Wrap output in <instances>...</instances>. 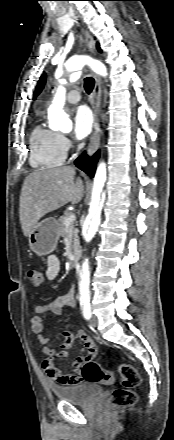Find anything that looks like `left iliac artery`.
Segmentation results:
<instances>
[{
	"mask_svg": "<svg viewBox=\"0 0 174 440\" xmlns=\"http://www.w3.org/2000/svg\"><path fill=\"white\" fill-rule=\"evenodd\" d=\"M80 305L84 317L89 320L91 318L90 295L87 291L80 292Z\"/></svg>",
	"mask_w": 174,
	"mask_h": 440,
	"instance_id": "obj_1",
	"label": "left iliac artery"
}]
</instances>
